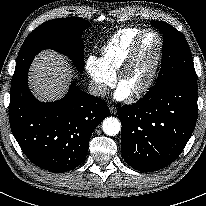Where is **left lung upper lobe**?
<instances>
[{"mask_svg": "<svg viewBox=\"0 0 206 206\" xmlns=\"http://www.w3.org/2000/svg\"><path fill=\"white\" fill-rule=\"evenodd\" d=\"M151 24L163 33V55L155 86L147 93H155L175 82L197 83L193 58L185 37L168 23L152 21Z\"/></svg>", "mask_w": 206, "mask_h": 206, "instance_id": "left-lung-upper-lobe-1", "label": "left lung upper lobe"}]
</instances>
